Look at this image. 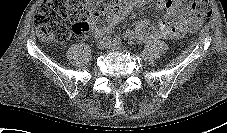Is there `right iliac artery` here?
Returning <instances> with one entry per match:
<instances>
[{
    "instance_id": "obj_1",
    "label": "right iliac artery",
    "mask_w": 227,
    "mask_h": 133,
    "mask_svg": "<svg viewBox=\"0 0 227 133\" xmlns=\"http://www.w3.org/2000/svg\"><path fill=\"white\" fill-rule=\"evenodd\" d=\"M105 33H103V34H101V35H104ZM103 39H105L106 41H108L109 43L111 42V39H110V37L109 36H105Z\"/></svg>"
}]
</instances>
